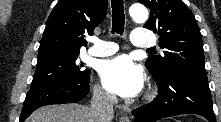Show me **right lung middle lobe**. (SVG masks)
Returning <instances> with one entry per match:
<instances>
[{"instance_id":"right-lung-middle-lobe-1","label":"right lung middle lobe","mask_w":221,"mask_h":122,"mask_svg":"<svg viewBox=\"0 0 221 122\" xmlns=\"http://www.w3.org/2000/svg\"><path fill=\"white\" fill-rule=\"evenodd\" d=\"M78 55H58L38 59L31 86L86 79L90 75V70L84 69V65L78 63Z\"/></svg>"}]
</instances>
